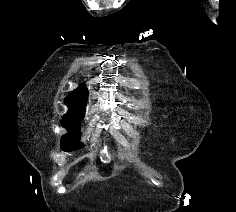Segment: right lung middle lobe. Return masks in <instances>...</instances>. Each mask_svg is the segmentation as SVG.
Instances as JSON below:
<instances>
[{
	"label": "right lung middle lobe",
	"instance_id": "obj_1",
	"mask_svg": "<svg viewBox=\"0 0 236 212\" xmlns=\"http://www.w3.org/2000/svg\"><path fill=\"white\" fill-rule=\"evenodd\" d=\"M84 115V111H69L63 116L61 120L62 126H64L68 133L61 138V148L64 151H72L81 148L79 145L80 133L79 122Z\"/></svg>",
	"mask_w": 236,
	"mask_h": 212
}]
</instances>
